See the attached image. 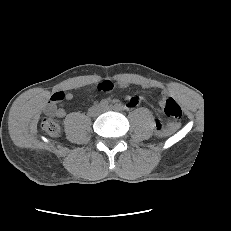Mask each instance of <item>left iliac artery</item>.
<instances>
[{"label": "left iliac artery", "mask_w": 231, "mask_h": 231, "mask_svg": "<svg viewBox=\"0 0 231 231\" xmlns=\"http://www.w3.org/2000/svg\"><path fill=\"white\" fill-rule=\"evenodd\" d=\"M114 107L116 110H119V111L123 109V105L120 103H116Z\"/></svg>", "instance_id": "44dca946"}]
</instances>
